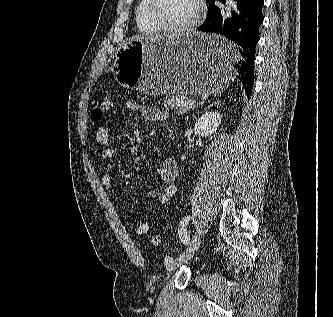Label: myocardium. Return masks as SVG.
Here are the masks:
<instances>
[{
  "label": "myocardium",
  "mask_w": 333,
  "mask_h": 317,
  "mask_svg": "<svg viewBox=\"0 0 333 317\" xmlns=\"http://www.w3.org/2000/svg\"><path fill=\"white\" fill-rule=\"evenodd\" d=\"M194 2L196 7L194 17L187 25L181 27H176L166 24L156 15L155 12L156 0H147L146 11L150 21L160 31L175 35H185L191 33L198 26L204 12L203 0H194Z\"/></svg>",
  "instance_id": "f54148a6"
}]
</instances>
